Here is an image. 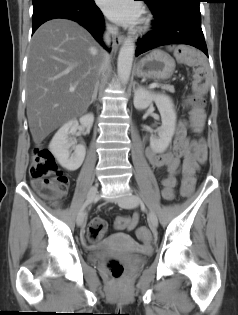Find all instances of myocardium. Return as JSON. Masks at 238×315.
Returning a JSON list of instances; mask_svg holds the SVG:
<instances>
[{"mask_svg":"<svg viewBox=\"0 0 238 315\" xmlns=\"http://www.w3.org/2000/svg\"><path fill=\"white\" fill-rule=\"evenodd\" d=\"M147 23H148V20L145 21V24H146V25H147Z\"/></svg>","mask_w":238,"mask_h":315,"instance_id":"f54148a6","label":"myocardium"}]
</instances>
